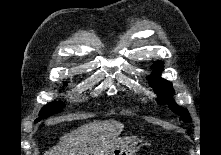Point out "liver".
I'll return each mask as SVG.
<instances>
[{
	"mask_svg": "<svg viewBox=\"0 0 221 155\" xmlns=\"http://www.w3.org/2000/svg\"><path fill=\"white\" fill-rule=\"evenodd\" d=\"M123 128L116 120L86 123L64 134L45 155H106Z\"/></svg>",
	"mask_w": 221,
	"mask_h": 155,
	"instance_id": "1",
	"label": "liver"
}]
</instances>
